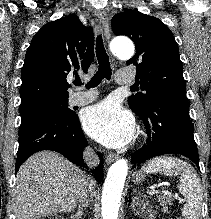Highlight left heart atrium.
I'll return each instance as SVG.
<instances>
[{"mask_svg":"<svg viewBox=\"0 0 211 219\" xmlns=\"http://www.w3.org/2000/svg\"><path fill=\"white\" fill-rule=\"evenodd\" d=\"M82 123L92 138L108 147L124 146L134 135L133 117L111 100L88 108L82 117Z\"/></svg>","mask_w":211,"mask_h":219,"instance_id":"39dd6f15","label":"left heart atrium"}]
</instances>
